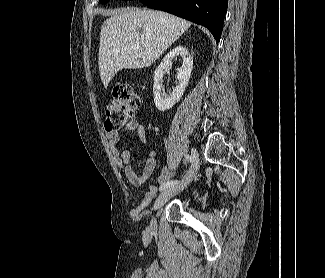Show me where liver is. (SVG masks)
Here are the masks:
<instances>
[{"mask_svg":"<svg viewBox=\"0 0 325 278\" xmlns=\"http://www.w3.org/2000/svg\"><path fill=\"white\" fill-rule=\"evenodd\" d=\"M104 13L110 17L101 28L98 59L105 88L122 69L149 67L191 26L189 21L162 11L118 9Z\"/></svg>","mask_w":325,"mask_h":278,"instance_id":"1","label":"liver"}]
</instances>
